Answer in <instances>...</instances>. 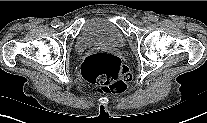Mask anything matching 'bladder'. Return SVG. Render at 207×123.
I'll return each mask as SVG.
<instances>
[{
  "mask_svg": "<svg viewBox=\"0 0 207 123\" xmlns=\"http://www.w3.org/2000/svg\"><path fill=\"white\" fill-rule=\"evenodd\" d=\"M125 45V36L114 20L92 18L81 27L76 39L80 52L90 49H119Z\"/></svg>",
  "mask_w": 207,
  "mask_h": 123,
  "instance_id": "1",
  "label": "bladder"
}]
</instances>
